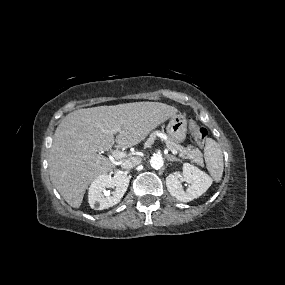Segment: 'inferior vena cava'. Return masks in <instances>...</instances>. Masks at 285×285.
Wrapping results in <instances>:
<instances>
[{
  "label": "inferior vena cava",
  "mask_w": 285,
  "mask_h": 285,
  "mask_svg": "<svg viewBox=\"0 0 285 285\" xmlns=\"http://www.w3.org/2000/svg\"><path fill=\"white\" fill-rule=\"evenodd\" d=\"M141 163L140 157H130L122 162L121 167L123 169H129L135 167Z\"/></svg>",
  "instance_id": "602c4592"
}]
</instances>
